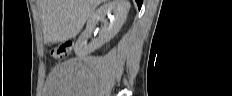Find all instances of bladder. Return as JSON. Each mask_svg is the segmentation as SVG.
Segmentation results:
<instances>
[{
    "label": "bladder",
    "instance_id": "bladder-1",
    "mask_svg": "<svg viewBox=\"0 0 232 96\" xmlns=\"http://www.w3.org/2000/svg\"><path fill=\"white\" fill-rule=\"evenodd\" d=\"M47 89H48V90L50 89V86H49V85H47ZM50 92H54V91H50Z\"/></svg>",
    "mask_w": 232,
    "mask_h": 96
}]
</instances>
